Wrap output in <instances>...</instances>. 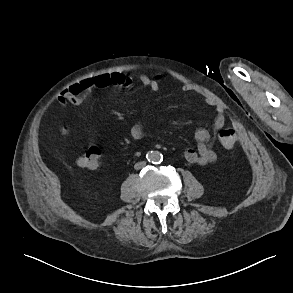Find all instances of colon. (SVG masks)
Returning a JSON list of instances; mask_svg holds the SVG:
<instances>
[{"mask_svg": "<svg viewBox=\"0 0 293 293\" xmlns=\"http://www.w3.org/2000/svg\"><path fill=\"white\" fill-rule=\"evenodd\" d=\"M64 132L66 133L67 130L64 129ZM218 139L224 148L231 149L236 143V133L232 128H225L218 133ZM100 158V148L96 145H91L78 158L77 163L82 168L96 169L100 165Z\"/></svg>", "mask_w": 293, "mask_h": 293, "instance_id": "obj_1", "label": "colon"}]
</instances>
